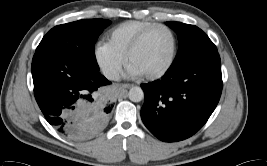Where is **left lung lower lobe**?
Returning <instances> with one entry per match:
<instances>
[{
  "label": "left lung lower lobe",
  "instance_id": "obj_1",
  "mask_svg": "<svg viewBox=\"0 0 267 166\" xmlns=\"http://www.w3.org/2000/svg\"><path fill=\"white\" fill-rule=\"evenodd\" d=\"M161 80L142 84L145 102L141 118L148 130L165 142L194 135L208 120L222 92L218 52L173 65Z\"/></svg>",
  "mask_w": 267,
  "mask_h": 166
}]
</instances>
